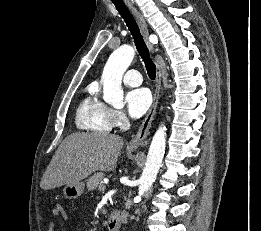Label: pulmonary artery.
Masks as SVG:
<instances>
[{
  "instance_id": "obj_1",
  "label": "pulmonary artery",
  "mask_w": 261,
  "mask_h": 231,
  "mask_svg": "<svg viewBox=\"0 0 261 231\" xmlns=\"http://www.w3.org/2000/svg\"><path fill=\"white\" fill-rule=\"evenodd\" d=\"M123 81L129 86H139L142 83V77L137 70L131 69L125 73Z\"/></svg>"
}]
</instances>
